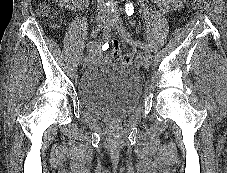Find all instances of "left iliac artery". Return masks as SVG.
Segmentation results:
<instances>
[{
    "mask_svg": "<svg viewBox=\"0 0 227 173\" xmlns=\"http://www.w3.org/2000/svg\"><path fill=\"white\" fill-rule=\"evenodd\" d=\"M115 22H116V24L122 26V21H121L119 15H115ZM128 42L131 43V44L133 43L136 46H138L141 49H143L145 51L146 56L151 58L150 51H149L148 46H147V44L145 42H141V41H135L134 42L131 38L128 39Z\"/></svg>",
    "mask_w": 227,
    "mask_h": 173,
    "instance_id": "left-iliac-artery-1",
    "label": "left iliac artery"
}]
</instances>
